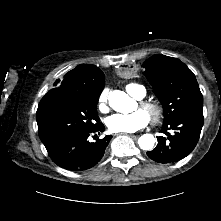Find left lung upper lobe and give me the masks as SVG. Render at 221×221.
I'll list each match as a JSON object with an SVG mask.
<instances>
[{
    "instance_id": "left-lung-upper-lobe-1",
    "label": "left lung upper lobe",
    "mask_w": 221,
    "mask_h": 221,
    "mask_svg": "<svg viewBox=\"0 0 221 221\" xmlns=\"http://www.w3.org/2000/svg\"><path fill=\"white\" fill-rule=\"evenodd\" d=\"M145 75L164 108V123L195 109H202L203 96L193 72L179 59L154 55L143 65ZM175 152L173 146L163 148L165 157Z\"/></svg>"
}]
</instances>
